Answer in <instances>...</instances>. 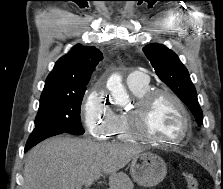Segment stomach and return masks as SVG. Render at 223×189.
<instances>
[{"instance_id": "0dacf381", "label": "stomach", "mask_w": 223, "mask_h": 189, "mask_svg": "<svg viewBox=\"0 0 223 189\" xmlns=\"http://www.w3.org/2000/svg\"><path fill=\"white\" fill-rule=\"evenodd\" d=\"M130 174L139 185L152 187L164 179L167 167L161 157L151 152H142L133 157L130 163ZM126 179L128 182L129 179Z\"/></svg>"}]
</instances>
